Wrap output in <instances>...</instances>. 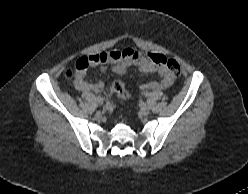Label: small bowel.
Wrapping results in <instances>:
<instances>
[{"instance_id": "c3829d8e", "label": "small bowel", "mask_w": 248, "mask_h": 194, "mask_svg": "<svg viewBox=\"0 0 248 194\" xmlns=\"http://www.w3.org/2000/svg\"><path fill=\"white\" fill-rule=\"evenodd\" d=\"M153 54L144 53L132 48L115 50L109 53L92 55L94 65H99L102 70H109L117 75H124L130 67L145 73H157L159 81L139 83L141 90H166L172 85V78L167 74L166 69L153 62ZM75 87L83 92L100 93L104 84L100 80L90 81L86 78V71H80L74 81Z\"/></svg>"}]
</instances>
